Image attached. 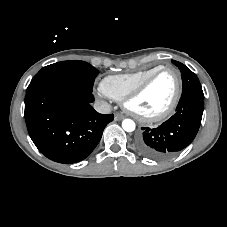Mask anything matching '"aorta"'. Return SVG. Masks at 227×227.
Listing matches in <instances>:
<instances>
[{"label": "aorta", "instance_id": "aorta-1", "mask_svg": "<svg viewBox=\"0 0 227 227\" xmlns=\"http://www.w3.org/2000/svg\"><path fill=\"white\" fill-rule=\"evenodd\" d=\"M135 122L131 119H124L122 121V128L126 131V132H133L135 130Z\"/></svg>", "mask_w": 227, "mask_h": 227}]
</instances>
